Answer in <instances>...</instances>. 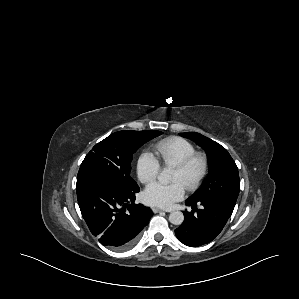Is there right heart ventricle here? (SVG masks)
Masks as SVG:
<instances>
[{
  "mask_svg": "<svg viewBox=\"0 0 299 299\" xmlns=\"http://www.w3.org/2000/svg\"><path fill=\"white\" fill-rule=\"evenodd\" d=\"M155 150L159 161L168 167L175 166L196 151L191 142L177 136L160 140L156 143Z\"/></svg>",
  "mask_w": 299,
  "mask_h": 299,
  "instance_id": "1",
  "label": "right heart ventricle"
}]
</instances>
